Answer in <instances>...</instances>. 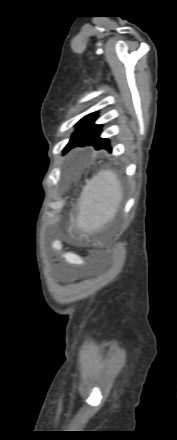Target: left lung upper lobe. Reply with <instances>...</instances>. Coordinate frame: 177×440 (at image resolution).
Listing matches in <instances>:
<instances>
[{
	"instance_id": "5c2ea615",
	"label": "left lung upper lobe",
	"mask_w": 177,
	"mask_h": 440,
	"mask_svg": "<svg viewBox=\"0 0 177 440\" xmlns=\"http://www.w3.org/2000/svg\"><path fill=\"white\" fill-rule=\"evenodd\" d=\"M97 116V113H91L84 118H82L77 124H76V132L73 133L69 143L64 148L63 154L68 152L71 148L76 147V144L88 136L89 134L93 133L97 129L101 128L102 125H95L94 121Z\"/></svg>"
}]
</instances>
